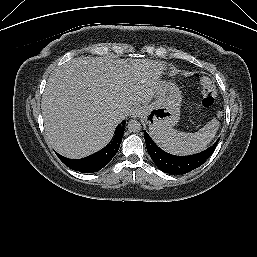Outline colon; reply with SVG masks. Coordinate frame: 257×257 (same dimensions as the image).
Listing matches in <instances>:
<instances>
[{"instance_id": "5ec220e1", "label": "colon", "mask_w": 257, "mask_h": 257, "mask_svg": "<svg viewBox=\"0 0 257 257\" xmlns=\"http://www.w3.org/2000/svg\"><path fill=\"white\" fill-rule=\"evenodd\" d=\"M200 88H201V100L200 104L204 108L211 107L217 96V89L213 81L206 76H198Z\"/></svg>"}]
</instances>
